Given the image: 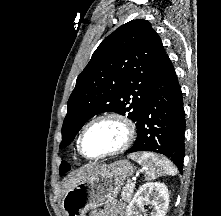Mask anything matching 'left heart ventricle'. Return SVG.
I'll list each match as a JSON object with an SVG mask.
<instances>
[{"label":"left heart ventricle","mask_w":221,"mask_h":216,"mask_svg":"<svg viewBox=\"0 0 221 216\" xmlns=\"http://www.w3.org/2000/svg\"><path fill=\"white\" fill-rule=\"evenodd\" d=\"M121 126L114 121H101L88 129L83 138V151L94 156L113 150L123 140Z\"/></svg>","instance_id":"left-heart-ventricle-1"}]
</instances>
